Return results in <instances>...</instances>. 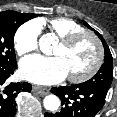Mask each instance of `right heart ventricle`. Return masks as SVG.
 <instances>
[{
    "mask_svg": "<svg viewBox=\"0 0 117 117\" xmlns=\"http://www.w3.org/2000/svg\"><path fill=\"white\" fill-rule=\"evenodd\" d=\"M46 24L50 32L59 38H62L71 33L84 31V28L81 25L65 17L51 19Z\"/></svg>",
    "mask_w": 117,
    "mask_h": 117,
    "instance_id": "obj_1",
    "label": "right heart ventricle"
}]
</instances>
